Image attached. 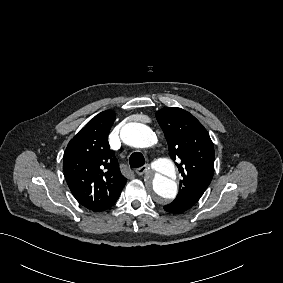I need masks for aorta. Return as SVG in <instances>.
I'll return each instance as SVG.
<instances>
[{"mask_svg":"<svg viewBox=\"0 0 283 283\" xmlns=\"http://www.w3.org/2000/svg\"><path fill=\"white\" fill-rule=\"evenodd\" d=\"M121 139L129 146L135 148L150 147L156 140L154 132L141 123H128L123 126ZM156 173L148 185L161 200L174 199L177 195V184L172 177L175 176V167L170 159L162 158L155 162Z\"/></svg>","mask_w":283,"mask_h":283,"instance_id":"aorta-1","label":"aorta"}]
</instances>
